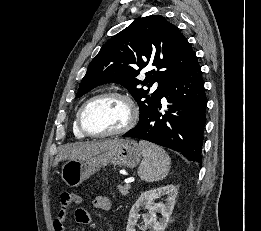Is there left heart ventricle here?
<instances>
[{"mask_svg": "<svg viewBox=\"0 0 261 231\" xmlns=\"http://www.w3.org/2000/svg\"><path fill=\"white\" fill-rule=\"evenodd\" d=\"M129 118L127 103L120 98L110 97L95 102L87 109L84 124L91 132L104 133L121 129Z\"/></svg>", "mask_w": 261, "mask_h": 231, "instance_id": "obj_1", "label": "left heart ventricle"}]
</instances>
